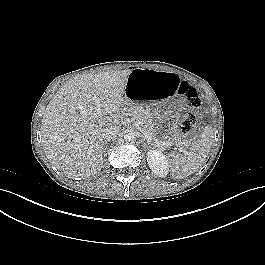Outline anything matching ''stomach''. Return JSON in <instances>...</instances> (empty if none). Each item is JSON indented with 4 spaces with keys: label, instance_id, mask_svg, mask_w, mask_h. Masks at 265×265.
Listing matches in <instances>:
<instances>
[{
    "label": "stomach",
    "instance_id": "0dacf381",
    "mask_svg": "<svg viewBox=\"0 0 265 265\" xmlns=\"http://www.w3.org/2000/svg\"><path fill=\"white\" fill-rule=\"evenodd\" d=\"M179 78L171 72L134 69L129 74L125 98L138 102L136 119L142 133L154 142L171 137L175 122L167 102L175 95Z\"/></svg>",
    "mask_w": 265,
    "mask_h": 265
}]
</instances>
